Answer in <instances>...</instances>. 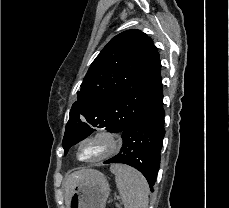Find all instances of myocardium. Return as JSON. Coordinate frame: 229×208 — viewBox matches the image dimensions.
Returning <instances> with one entry per match:
<instances>
[{"mask_svg":"<svg viewBox=\"0 0 229 208\" xmlns=\"http://www.w3.org/2000/svg\"><path fill=\"white\" fill-rule=\"evenodd\" d=\"M106 133V134H101ZM84 143L85 147H114L110 152L91 160H84L80 157L79 151ZM124 145V137L119 130L110 127H100L83 136L76 145L77 159L86 164H94L108 160L117 155Z\"/></svg>","mask_w":229,"mask_h":208,"instance_id":"1","label":"myocardium"}]
</instances>
